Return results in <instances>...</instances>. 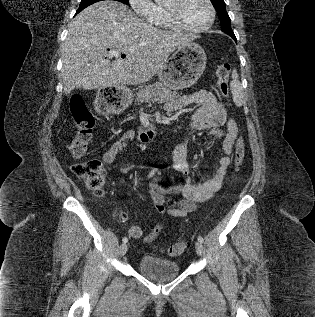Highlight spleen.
<instances>
[{
    "instance_id": "spleen-1",
    "label": "spleen",
    "mask_w": 315,
    "mask_h": 317,
    "mask_svg": "<svg viewBox=\"0 0 315 317\" xmlns=\"http://www.w3.org/2000/svg\"><path fill=\"white\" fill-rule=\"evenodd\" d=\"M230 89L233 96V101L237 106H242L244 101V91L239 81L237 71L234 69L232 71V81L230 83Z\"/></svg>"
}]
</instances>
